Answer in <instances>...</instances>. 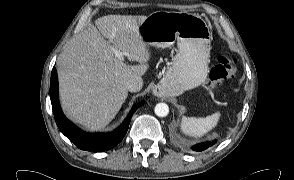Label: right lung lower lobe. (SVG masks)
Wrapping results in <instances>:
<instances>
[{"label": "right lung lower lobe", "mask_w": 294, "mask_h": 180, "mask_svg": "<svg viewBox=\"0 0 294 180\" xmlns=\"http://www.w3.org/2000/svg\"><path fill=\"white\" fill-rule=\"evenodd\" d=\"M50 99L52 109L55 116V121L60 131L78 148L86 151L103 152L116 146L124 138L130 123L131 116L135 111L133 108L130 115L124 123L109 134H89L77 128L62 113L59 100H58V80L57 71L52 69L51 82H50Z\"/></svg>", "instance_id": "1"}]
</instances>
